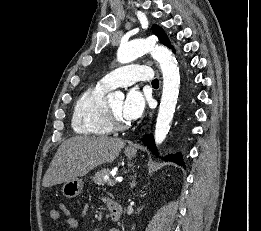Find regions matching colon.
<instances>
[{
  "label": "colon",
  "mask_w": 261,
  "mask_h": 231,
  "mask_svg": "<svg viewBox=\"0 0 261 231\" xmlns=\"http://www.w3.org/2000/svg\"><path fill=\"white\" fill-rule=\"evenodd\" d=\"M67 211H68L67 207H66L65 205H63V207H62V212H63V213H66Z\"/></svg>",
  "instance_id": "5ec220e1"
}]
</instances>
